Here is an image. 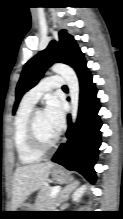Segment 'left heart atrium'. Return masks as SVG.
<instances>
[{"label": "left heart atrium", "mask_w": 123, "mask_h": 219, "mask_svg": "<svg viewBox=\"0 0 123 219\" xmlns=\"http://www.w3.org/2000/svg\"><path fill=\"white\" fill-rule=\"evenodd\" d=\"M44 114L51 128L58 134L62 130L65 122L62 102L57 97H49L46 102Z\"/></svg>", "instance_id": "obj_1"}]
</instances>
